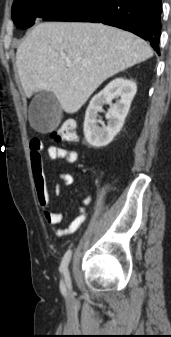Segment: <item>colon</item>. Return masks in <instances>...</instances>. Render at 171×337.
I'll return each instance as SVG.
<instances>
[{"mask_svg":"<svg viewBox=\"0 0 171 337\" xmlns=\"http://www.w3.org/2000/svg\"><path fill=\"white\" fill-rule=\"evenodd\" d=\"M50 136L56 142H76L78 140L76 122L72 119L65 120L59 128L51 132Z\"/></svg>","mask_w":171,"mask_h":337,"instance_id":"colon-1","label":"colon"}]
</instances>
